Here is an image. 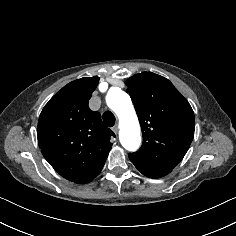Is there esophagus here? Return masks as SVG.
Instances as JSON below:
<instances>
[{
  "instance_id": "34e87169",
  "label": "esophagus",
  "mask_w": 236,
  "mask_h": 236,
  "mask_svg": "<svg viewBox=\"0 0 236 236\" xmlns=\"http://www.w3.org/2000/svg\"><path fill=\"white\" fill-rule=\"evenodd\" d=\"M112 130L114 131V133H117L119 130L118 125L113 126Z\"/></svg>"
}]
</instances>
